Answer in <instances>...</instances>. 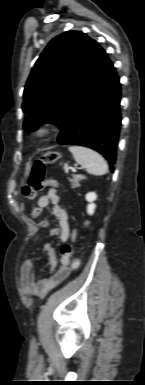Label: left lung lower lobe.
I'll use <instances>...</instances> for the list:
<instances>
[{"instance_id": "obj_1", "label": "left lung lower lobe", "mask_w": 145, "mask_h": 385, "mask_svg": "<svg viewBox=\"0 0 145 385\" xmlns=\"http://www.w3.org/2000/svg\"><path fill=\"white\" fill-rule=\"evenodd\" d=\"M120 97L119 77L107 53L99 47L81 91L60 128L59 144L89 147L115 164L121 126Z\"/></svg>"}]
</instances>
